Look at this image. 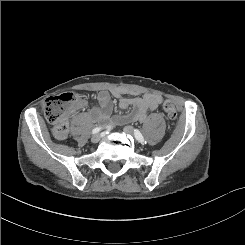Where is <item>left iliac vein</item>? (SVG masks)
<instances>
[{"mask_svg": "<svg viewBox=\"0 0 245 245\" xmlns=\"http://www.w3.org/2000/svg\"><path fill=\"white\" fill-rule=\"evenodd\" d=\"M123 130L127 134L134 135V129L131 126H125Z\"/></svg>", "mask_w": 245, "mask_h": 245, "instance_id": "left-iliac-vein-1", "label": "left iliac vein"}]
</instances>
